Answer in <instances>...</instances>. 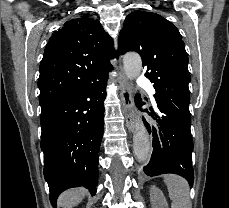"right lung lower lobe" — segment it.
I'll list each match as a JSON object with an SVG mask.
<instances>
[{"mask_svg":"<svg viewBox=\"0 0 229 208\" xmlns=\"http://www.w3.org/2000/svg\"><path fill=\"white\" fill-rule=\"evenodd\" d=\"M107 79L108 74L41 112L43 173L54 208L68 188L84 186L92 195L97 191Z\"/></svg>","mask_w":229,"mask_h":208,"instance_id":"98d812e1","label":"right lung lower lobe"}]
</instances>
